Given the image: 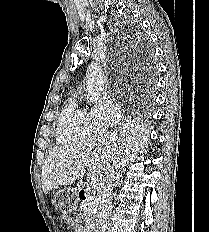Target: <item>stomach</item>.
Returning <instances> with one entry per match:
<instances>
[{"label":"stomach","instance_id":"stomach-1","mask_svg":"<svg viewBox=\"0 0 209 232\" xmlns=\"http://www.w3.org/2000/svg\"><path fill=\"white\" fill-rule=\"evenodd\" d=\"M76 186H67L62 188L61 191H57L53 203H57L55 211H59V214H75V207L79 206L80 191H76Z\"/></svg>","mask_w":209,"mask_h":232}]
</instances>
